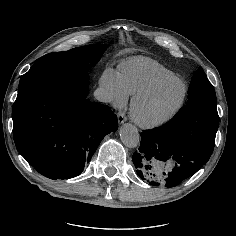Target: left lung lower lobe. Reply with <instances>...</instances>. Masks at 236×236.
I'll use <instances>...</instances> for the list:
<instances>
[{
    "label": "left lung lower lobe",
    "instance_id": "0a47b994",
    "mask_svg": "<svg viewBox=\"0 0 236 236\" xmlns=\"http://www.w3.org/2000/svg\"><path fill=\"white\" fill-rule=\"evenodd\" d=\"M218 126L216 105L193 102L184 106L167 124L141 133L140 148L133 154L137 174L158 186L159 183L152 180L157 178L152 172L153 163L172 159L175 167L168 174L163 172L160 180L166 187L177 186L207 163Z\"/></svg>",
    "mask_w": 236,
    "mask_h": 236
}]
</instances>
